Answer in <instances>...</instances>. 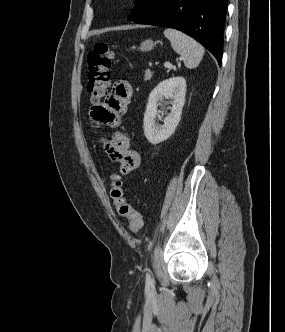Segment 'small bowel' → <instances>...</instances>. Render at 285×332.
<instances>
[{"label": "small bowel", "instance_id": "obj_1", "mask_svg": "<svg viewBox=\"0 0 285 332\" xmlns=\"http://www.w3.org/2000/svg\"><path fill=\"white\" fill-rule=\"evenodd\" d=\"M132 93V87L127 81L115 82L105 102L90 109L89 116L93 124L117 126L127 112ZM104 149L112 161L119 163L124 174L134 171L140 165V155L131 149L130 136L124 131L114 132L111 138L104 142Z\"/></svg>", "mask_w": 285, "mask_h": 332}]
</instances>
